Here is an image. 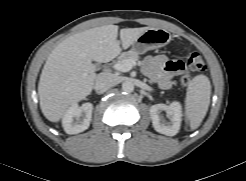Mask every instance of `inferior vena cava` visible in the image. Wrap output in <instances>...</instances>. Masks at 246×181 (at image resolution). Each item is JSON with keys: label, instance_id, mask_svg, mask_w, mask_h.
<instances>
[{"label": "inferior vena cava", "instance_id": "inferior-vena-cava-1", "mask_svg": "<svg viewBox=\"0 0 246 181\" xmlns=\"http://www.w3.org/2000/svg\"><path fill=\"white\" fill-rule=\"evenodd\" d=\"M116 84V78L110 73H101L95 80L94 88L96 91H102Z\"/></svg>", "mask_w": 246, "mask_h": 181}]
</instances>
